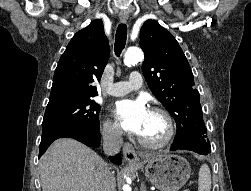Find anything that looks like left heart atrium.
I'll return each mask as SVG.
<instances>
[{"label":"left heart atrium","instance_id":"39dd6f15","mask_svg":"<svg viewBox=\"0 0 251 191\" xmlns=\"http://www.w3.org/2000/svg\"><path fill=\"white\" fill-rule=\"evenodd\" d=\"M112 114L122 130L141 134L150 110L140 100H120L113 107Z\"/></svg>","mask_w":251,"mask_h":191}]
</instances>
